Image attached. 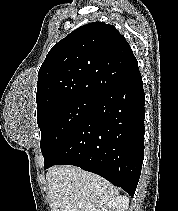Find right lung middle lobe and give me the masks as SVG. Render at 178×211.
Wrapping results in <instances>:
<instances>
[{"label": "right lung middle lobe", "mask_w": 178, "mask_h": 211, "mask_svg": "<svg viewBox=\"0 0 178 211\" xmlns=\"http://www.w3.org/2000/svg\"><path fill=\"white\" fill-rule=\"evenodd\" d=\"M95 101L91 98H73L37 111L44 159L84 120Z\"/></svg>", "instance_id": "right-lung-middle-lobe-1"}]
</instances>
